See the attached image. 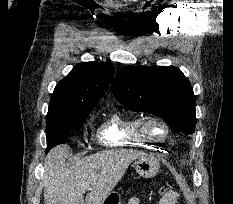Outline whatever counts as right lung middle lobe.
I'll list each match as a JSON object with an SVG mask.
<instances>
[{"label": "right lung middle lobe", "instance_id": "obj_1", "mask_svg": "<svg viewBox=\"0 0 233 204\" xmlns=\"http://www.w3.org/2000/svg\"><path fill=\"white\" fill-rule=\"evenodd\" d=\"M90 111L47 123V152L58 144H63L72 130H78L86 121Z\"/></svg>", "mask_w": 233, "mask_h": 204}]
</instances>
